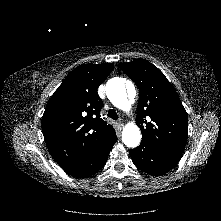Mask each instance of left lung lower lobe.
<instances>
[{
	"label": "left lung lower lobe",
	"mask_w": 221,
	"mask_h": 221,
	"mask_svg": "<svg viewBox=\"0 0 221 221\" xmlns=\"http://www.w3.org/2000/svg\"><path fill=\"white\" fill-rule=\"evenodd\" d=\"M129 153L134 164L152 176L165 174L177 165L182 156V153L172 152L143 140Z\"/></svg>",
	"instance_id": "1"
}]
</instances>
